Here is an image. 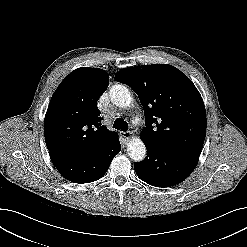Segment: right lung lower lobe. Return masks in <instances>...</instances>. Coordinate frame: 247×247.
<instances>
[{
    "instance_id": "98d812e1",
    "label": "right lung lower lobe",
    "mask_w": 247,
    "mask_h": 247,
    "mask_svg": "<svg viewBox=\"0 0 247 247\" xmlns=\"http://www.w3.org/2000/svg\"><path fill=\"white\" fill-rule=\"evenodd\" d=\"M121 150L116 137L105 148L86 159H73L50 153L60 174L71 182L90 183L100 179L108 170L114 156Z\"/></svg>"
}]
</instances>
